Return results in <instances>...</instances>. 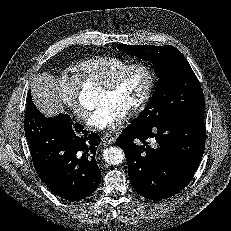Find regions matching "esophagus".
I'll return each mask as SVG.
<instances>
[{
  "mask_svg": "<svg viewBox=\"0 0 231 231\" xmlns=\"http://www.w3.org/2000/svg\"><path fill=\"white\" fill-rule=\"evenodd\" d=\"M102 142H104L105 144H113L116 140L115 136L111 135V134H105L102 136Z\"/></svg>",
  "mask_w": 231,
  "mask_h": 231,
  "instance_id": "obj_1",
  "label": "esophagus"
}]
</instances>
